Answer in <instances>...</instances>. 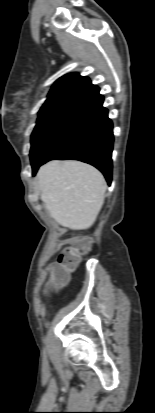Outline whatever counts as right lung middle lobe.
I'll list each match as a JSON object with an SVG mask.
<instances>
[{"instance_id": "1", "label": "right lung middle lobe", "mask_w": 155, "mask_h": 413, "mask_svg": "<svg viewBox=\"0 0 155 413\" xmlns=\"http://www.w3.org/2000/svg\"><path fill=\"white\" fill-rule=\"evenodd\" d=\"M78 106H67L40 116L31 135L32 166L41 162L62 136Z\"/></svg>"}]
</instances>
